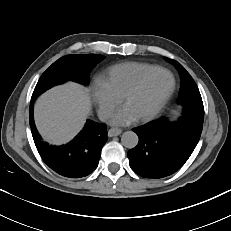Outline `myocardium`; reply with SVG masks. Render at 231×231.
Listing matches in <instances>:
<instances>
[{
    "mask_svg": "<svg viewBox=\"0 0 231 231\" xmlns=\"http://www.w3.org/2000/svg\"><path fill=\"white\" fill-rule=\"evenodd\" d=\"M162 72L168 73L171 76V79H172L171 88H170L168 93L165 95V97L162 99V101L160 102V104L157 106V108L155 110H153L151 113H149L147 115H144V116H141V117L138 118V120L141 121V122L150 121V120L154 119L155 117H157L164 110L166 105L169 103V101L171 100V98L174 95V92L176 90V79H175L174 74L168 69L158 68V69L148 73L144 77H142L122 97V102L125 104L126 101L130 97H132L134 94L139 92L154 76H156L157 74L162 73Z\"/></svg>",
    "mask_w": 231,
    "mask_h": 231,
    "instance_id": "obj_1",
    "label": "myocardium"
}]
</instances>
